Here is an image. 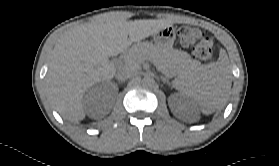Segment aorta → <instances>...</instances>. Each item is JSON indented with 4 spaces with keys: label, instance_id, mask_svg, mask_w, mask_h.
<instances>
[{
    "label": "aorta",
    "instance_id": "1",
    "mask_svg": "<svg viewBox=\"0 0 279 166\" xmlns=\"http://www.w3.org/2000/svg\"><path fill=\"white\" fill-rule=\"evenodd\" d=\"M142 83L144 85H152L154 83V79L153 77L149 76V75H146L144 76V78L142 79Z\"/></svg>",
    "mask_w": 279,
    "mask_h": 166
}]
</instances>
